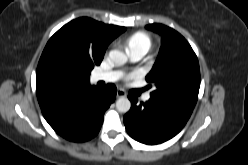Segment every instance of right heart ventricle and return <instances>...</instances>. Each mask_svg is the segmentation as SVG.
<instances>
[{"instance_id": "obj_1", "label": "right heart ventricle", "mask_w": 248, "mask_h": 165, "mask_svg": "<svg viewBox=\"0 0 248 165\" xmlns=\"http://www.w3.org/2000/svg\"><path fill=\"white\" fill-rule=\"evenodd\" d=\"M126 44L129 50L138 47H144L149 50L152 44V40L147 33L136 32L127 39Z\"/></svg>"}]
</instances>
